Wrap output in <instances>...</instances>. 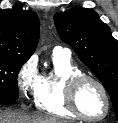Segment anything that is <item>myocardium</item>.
<instances>
[{
    "label": "myocardium",
    "instance_id": "myocardium-1",
    "mask_svg": "<svg viewBox=\"0 0 118 123\" xmlns=\"http://www.w3.org/2000/svg\"><path fill=\"white\" fill-rule=\"evenodd\" d=\"M88 81L94 83L100 89L105 99L106 110L104 114L99 117H92V116L86 115L80 109L78 104L77 95H78L79 88L85 82H88ZM65 101H66L67 107L77 116V118H80L85 121H91V122L101 121L109 115L111 110V100L105 85L99 79L84 73L71 76L66 80Z\"/></svg>",
    "mask_w": 118,
    "mask_h": 123
}]
</instances>
